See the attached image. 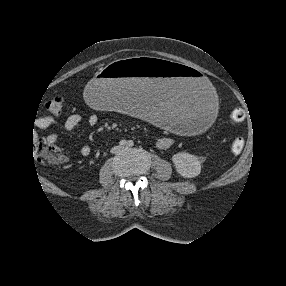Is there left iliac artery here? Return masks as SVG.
<instances>
[{"label":"left iliac artery","mask_w":286,"mask_h":286,"mask_svg":"<svg viewBox=\"0 0 286 286\" xmlns=\"http://www.w3.org/2000/svg\"><path fill=\"white\" fill-rule=\"evenodd\" d=\"M128 145L132 147L134 145V142L132 140H130V141H128Z\"/></svg>","instance_id":"obj_1"}]
</instances>
